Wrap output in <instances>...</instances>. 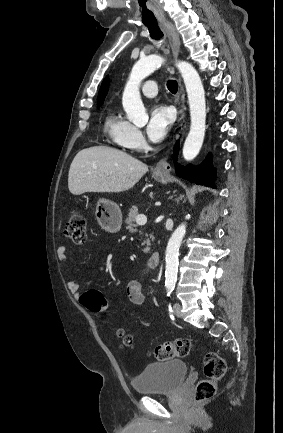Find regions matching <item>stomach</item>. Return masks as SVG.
Returning a JSON list of instances; mask_svg holds the SVG:
<instances>
[{"instance_id":"obj_1","label":"stomach","mask_w":283,"mask_h":433,"mask_svg":"<svg viewBox=\"0 0 283 433\" xmlns=\"http://www.w3.org/2000/svg\"><path fill=\"white\" fill-rule=\"evenodd\" d=\"M155 180H160V182H166L167 178L164 172H159L156 170L153 174ZM96 219L99 223H103L105 227L110 229L111 233H117L120 231L122 225V212L120 206L113 202V200H108V198H99L95 210Z\"/></svg>"}]
</instances>
